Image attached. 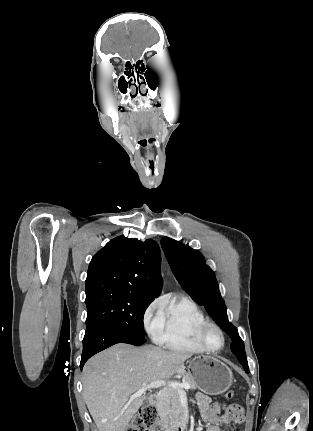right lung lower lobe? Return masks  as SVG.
<instances>
[{"mask_svg":"<svg viewBox=\"0 0 313 431\" xmlns=\"http://www.w3.org/2000/svg\"><path fill=\"white\" fill-rule=\"evenodd\" d=\"M144 338L137 337L121 328L109 324H100L87 330L83 339V352L80 368L94 354L117 343H128L140 346L145 343Z\"/></svg>","mask_w":313,"mask_h":431,"instance_id":"1","label":"right lung lower lobe"}]
</instances>
